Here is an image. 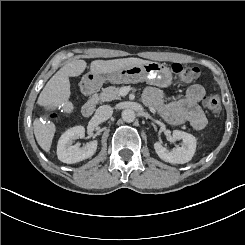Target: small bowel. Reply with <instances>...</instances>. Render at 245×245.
<instances>
[{
	"instance_id": "c3829d8e",
	"label": "small bowel",
	"mask_w": 245,
	"mask_h": 245,
	"mask_svg": "<svg viewBox=\"0 0 245 245\" xmlns=\"http://www.w3.org/2000/svg\"><path fill=\"white\" fill-rule=\"evenodd\" d=\"M205 94V89L201 85L194 84L188 88L182 99L167 102L160 89L148 87L144 92L143 99L169 124L188 123L193 129L202 130L207 124V118L199 104Z\"/></svg>"
}]
</instances>
